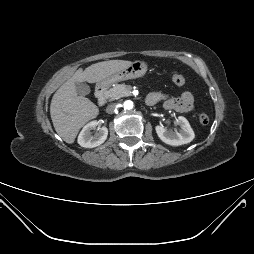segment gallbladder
Listing matches in <instances>:
<instances>
[{"label":"gallbladder","mask_w":254,"mask_h":254,"mask_svg":"<svg viewBox=\"0 0 254 254\" xmlns=\"http://www.w3.org/2000/svg\"><path fill=\"white\" fill-rule=\"evenodd\" d=\"M77 94L85 96L90 93V87L86 83H76Z\"/></svg>","instance_id":"obj_1"}]
</instances>
